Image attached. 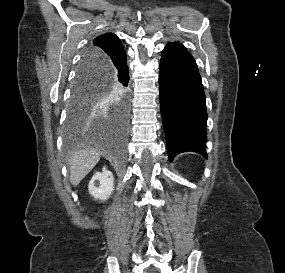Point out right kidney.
<instances>
[{"label":"right kidney","instance_id":"right-kidney-1","mask_svg":"<svg viewBox=\"0 0 285 273\" xmlns=\"http://www.w3.org/2000/svg\"><path fill=\"white\" fill-rule=\"evenodd\" d=\"M114 188L113 174L105 167L102 172H97L91 178L88 190L89 193L99 200H106L112 193Z\"/></svg>","mask_w":285,"mask_h":273}]
</instances>
